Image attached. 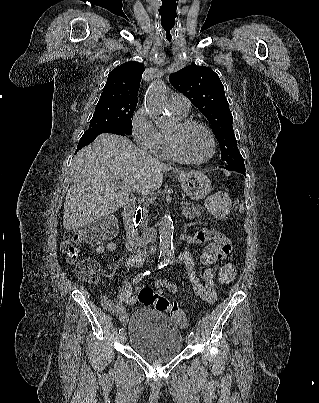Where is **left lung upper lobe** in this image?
I'll return each instance as SVG.
<instances>
[{"instance_id": "5c2ea615", "label": "left lung upper lobe", "mask_w": 319, "mask_h": 403, "mask_svg": "<svg viewBox=\"0 0 319 403\" xmlns=\"http://www.w3.org/2000/svg\"><path fill=\"white\" fill-rule=\"evenodd\" d=\"M169 81L207 118L227 165L245 167L233 130V117L219 76L204 66H188L169 76Z\"/></svg>"}]
</instances>
